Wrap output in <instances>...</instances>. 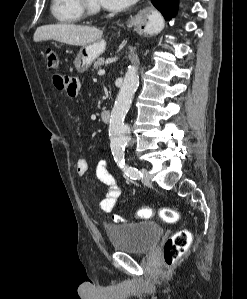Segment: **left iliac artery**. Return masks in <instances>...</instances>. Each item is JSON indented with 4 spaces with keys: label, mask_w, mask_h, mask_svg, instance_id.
<instances>
[{
    "label": "left iliac artery",
    "mask_w": 247,
    "mask_h": 299,
    "mask_svg": "<svg viewBox=\"0 0 247 299\" xmlns=\"http://www.w3.org/2000/svg\"><path fill=\"white\" fill-rule=\"evenodd\" d=\"M117 165L123 169L125 174L131 179L137 180L142 177V173L137 168L125 164L124 155L114 157Z\"/></svg>",
    "instance_id": "left-iliac-artery-1"
}]
</instances>
